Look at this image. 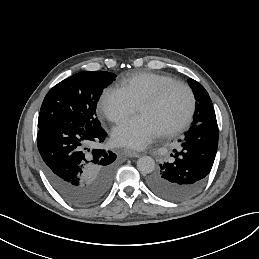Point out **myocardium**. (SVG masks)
Returning a JSON list of instances; mask_svg holds the SVG:
<instances>
[{
	"label": "myocardium",
	"mask_w": 259,
	"mask_h": 259,
	"mask_svg": "<svg viewBox=\"0 0 259 259\" xmlns=\"http://www.w3.org/2000/svg\"><path fill=\"white\" fill-rule=\"evenodd\" d=\"M174 87H182L183 89L186 90L188 94V99H189L188 109L185 116L176 125L161 133L162 136L164 137H173L177 135L191 122L196 109V97L193 89L185 82L172 80L161 85L158 91L153 96L144 99L138 106V110H139L142 106H150V105L158 104L167 95V93Z\"/></svg>",
	"instance_id": "obj_1"
}]
</instances>
